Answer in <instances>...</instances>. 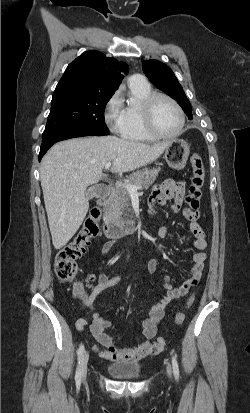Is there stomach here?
<instances>
[{
  "instance_id": "obj_1",
  "label": "stomach",
  "mask_w": 250,
  "mask_h": 413,
  "mask_svg": "<svg viewBox=\"0 0 250 413\" xmlns=\"http://www.w3.org/2000/svg\"><path fill=\"white\" fill-rule=\"evenodd\" d=\"M189 152L187 142L182 139H173L169 141L164 151V159L171 168L181 170L186 165Z\"/></svg>"
}]
</instances>
